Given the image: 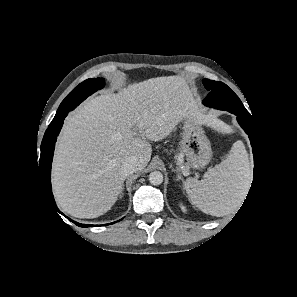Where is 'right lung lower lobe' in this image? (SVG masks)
I'll return each mask as SVG.
<instances>
[{"label":"right lung lower lobe","mask_w":297,"mask_h":297,"mask_svg":"<svg viewBox=\"0 0 297 297\" xmlns=\"http://www.w3.org/2000/svg\"><path fill=\"white\" fill-rule=\"evenodd\" d=\"M66 115H67V113L60 116V118L57 119L55 124L51 127H48V129L46 130L43 140H42V143H41L40 159L38 160L41 179H42V186L45 190L46 195H48L47 196L48 199H50V203L55 207V209H57V211L59 213H61V212L59 211V209L57 208V206L55 204L54 197H53L52 190H51L50 174H51V163H52V159H53L55 142L57 140V136L61 130V127L63 125V120L66 117ZM38 162H37V164H38ZM62 215H64V214H62ZM72 222H74V221H72ZM74 223L81 227L99 226V225L79 224L76 222H74Z\"/></svg>","instance_id":"obj_1"}]
</instances>
